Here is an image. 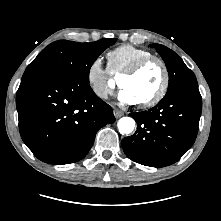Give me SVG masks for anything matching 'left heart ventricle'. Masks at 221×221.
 I'll return each mask as SVG.
<instances>
[{"mask_svg":"<svg viewBox=\"0 0 221 221\" xmlns=\"http://www.w3.org/2000/svg\"><path fill=\"white\" fill-rule=\"evenodd\" d=\"M162 80L161 66L157 62H151L136 75L120 79L119 85L129 90L139 103L151 98L160 88Z\"/></svg>","mask_w":221,"mask_h":221,"instance_id":"b2bd125f","label":"left heart ventricle"}]
</instances>
